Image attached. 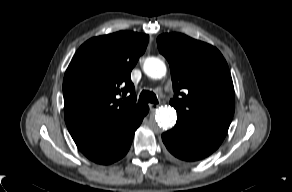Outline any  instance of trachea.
Returning <instances> with one entry per match:
<instances>
[{
    "instance_id": "1",
    "label": "trachea",
    "mask_w": 292,
    "mask_h": 192,
    "mask_svg": "<svg viewBox=\"0 0 292 192\" xmlns=\"http://www.w3.org/2000/svg\"><path fill=\"white\" fill-rule=\"evenodd\" d=\"M154 103L157 104L158 100L156 95L151 91L143 90L139 96V103Z\"/></svg>"
}]
</instances>
